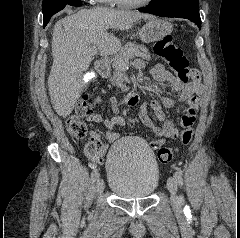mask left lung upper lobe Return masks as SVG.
<instances>
[{
  "label": "left lung upper lobe",
  "instance_id": "left-lung-upper-lobe-1",
  "mask_svg": "<svg viewBox=\"0 0 240 238\" xmlns=\"http://www.w3.org/2000/svg\"><path fill=\"white\" fill-rule=\"evenodd\" d=\"M162 1H164V0H151L149 5H156V4H158V3L162 2Z\"/></svg>",
  "mask_w": 240,
  "mask_h": 238
}]
</instances>
